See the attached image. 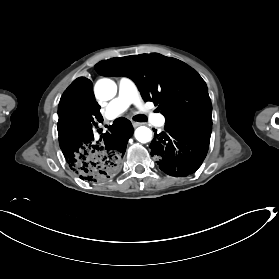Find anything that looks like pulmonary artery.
I'll list each match as a JSON object with an SVG mask.
<instances>
[{
	"instance_id": "e3ab8cb5",
	"label": "pulmonary artery",
	"mask_w": 279,
	"mask_h": 279,
	"mask_svg": "<svg viewBox=\"0 0 279 279\" xmlns=\"http://www.w3.org/2000/svg\"><path fill=\"white\" fill-rule=\"evenodd\" d=\"M117 85V96L102 109V114L107 119H113L122 115L131 104L141 105L140 100L137 99L134 83L130 79L121 77L118 79Z\"/></svg>"
}]
</instances>
